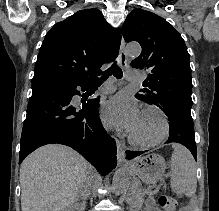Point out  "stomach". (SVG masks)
I'll return each mask as SVG.
<instances>
[{"instance_id": "obj_1", "label": "stomach", "mask_w": 219, "mask_h": 211, "mask_svg": "<svg viewBox=\"0 0 219 211\" xmlns=\"http://www.w3.org/2000/svg\"><path fill=\"white\" fill-rule=\"evenodd\" d=\"M165 169V159L156 153L141 156L129 164V170L147 184L158 182Z\"/></svg>"}]
</instances>
